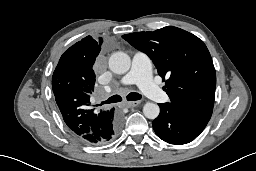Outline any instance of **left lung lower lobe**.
<instances>
[{
  "instance_id": "obj_1",
  "label": "left lung lower lobe",
  "mask_w": 256,
  "mask_h": 171,
  "mask_svg": "<svg viewBox=\"0 0 256 171\" xmlns=\"http://www.w3.org/2000/svg\"><path fill=\"white\" fill-rule=\"evenodd\" d=\"M160 114L152 126L157 136L170 144H186L206 127V120L188 109L172 103L160 104Z\"/></svg>"
}]
</instances>
